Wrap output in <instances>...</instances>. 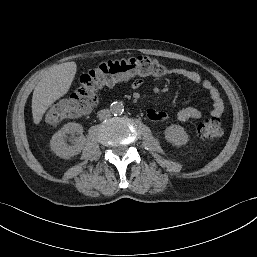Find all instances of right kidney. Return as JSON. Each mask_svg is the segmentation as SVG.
<instances>
[{"label": "right kidney", "instance_id": "ca27d5eb", "mask_svg": "<svg viewBox=\"0 0 257 257\" xmlns=\"http://www.w3.org/2000/svg\"><path fill=\"white\" fill-rule=\"evenodd\" d=\"M83 128L77 123H67L58 132H56L50 141L51 150L61 158H70L79 154L85 143V137L82 135ZM67 134H70L68 138ZM67 138L72 145L67 144Z\"/></svg>", "mask_w": 257, "mask_h": 257}]
</instances>
